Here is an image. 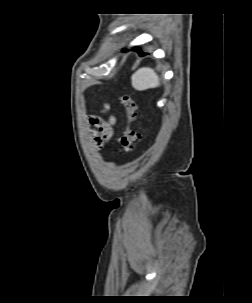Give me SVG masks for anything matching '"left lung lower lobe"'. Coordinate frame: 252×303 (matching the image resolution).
<instances>
[{"instance_id": "0a47b994", "label": "left lung lower lobe", "mask_w": 252, "mask_h": 303, "mask_svg": "<svg viewBox=\"0 0 252 303\" xmlns=\"http://www.w3.org/2000/svg\"><path fill=\"white\" fill-rule=\"evenodd\" d=\"M133 50H136V51L140 52V50L137 47H134ZM140 55L143 56L145 54H143L142 52H140Z\"/></svg>"}]
</instances>
